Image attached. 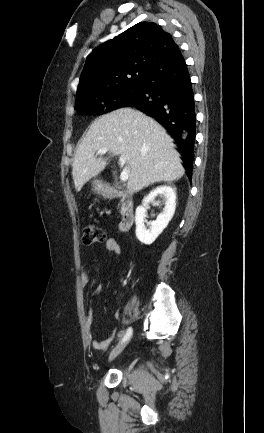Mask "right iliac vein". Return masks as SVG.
Here are the masks:
<instances>
[{
    "instance_id": "obj_1",
    "label": "right iliac vein",
    "mask_w": 264,
    "mask_h": 433,
    "mask_svg": "<svg viewBox=\"0 0 264 433\" xmlns=\"http://www.w3.org/2000/svg\"><path fill=\"white\" fill-rule=\"evenodd\" d=\"M128 340H126L125 342H121L120 344H118L110 353L109 355V359L108 361L111 362L112 360H114L125 348V346L127 345Z\"/></svg>"
}]
</instances>
